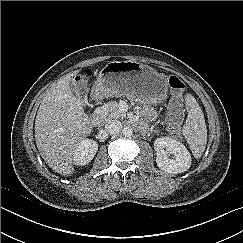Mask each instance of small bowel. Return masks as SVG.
I'll list each match as a JSON object with an SVG mask.
<instances>
[{"instance_id":"c3829d8e","label":"small bowel","mask_w":243,"mask_h":243,"mask_svg":"<svg viewBox=\"0 0 243 243\" xmlns=\"http://www.w3.org/2000/svg\"><path fill=\"white\" fill-rule=\"evenodd\" d=\"M145 114H146V116L151 117V116L153 115V111H152L151 109H146V110H145ZM141 127H142L143 129L146 128L144 123L141 124Z\"/></svg>"}]
</instances>
